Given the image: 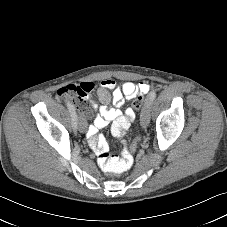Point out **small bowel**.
Here are the masks:
<instances>
[{"label":"small bowel","mask_w":227,"mask_h":227,"mask_svg":"<svg viewBox=\"0 0 227 227\" xmlns=\"http://www.w3.org/2000/svg\"><path fill=\"white\" fill-rule=\"evenodd\" d=\"M81 95L73 98L77 110L81 114V121L86 127L85 105L89 103L91 108L97 112L93 124L86 129V135L89 146L94 153L99 156L102 153H108L109 146L104 136L98 135V130L104 128L109 123H113L112 133L116 137H120L126 129L134 122L135 112L132 108L127 109L125 113L121 111V107L126 100L133 99L137 95H143L149 92L148 83H134L126 81L121 85L112 78H105L101 81L97 90V95L102 103L98 105L89 99V95L93 89V83L84 82L76 86ZM112 102L114 107H108L107 104ZM115 158V157H114ZM117 159V158H115Z\"/></svg>","instance_id":"obj_1"}]
</instances>
